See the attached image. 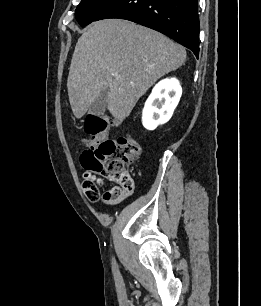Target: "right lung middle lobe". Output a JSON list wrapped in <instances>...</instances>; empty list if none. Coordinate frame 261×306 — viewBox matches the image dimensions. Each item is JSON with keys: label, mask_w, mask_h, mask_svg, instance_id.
Returning <instances> with one entry per match:
<instances>
[{"label": "right lung middle lobe", "mask_w": 261, "mask_h": 306, "mask_svg": "<svg viewBox=\"0 0 261 306\" xmlns=\"http://www.w3.org/2000/svg\"><path fill=\"white\" fill-rule=\"evenodd\" d=\"M116 0H81L75 11V18L86 26L103 13Z\"/></svg>", "instance_id": "dd1d6c3e"}]
</instances>
